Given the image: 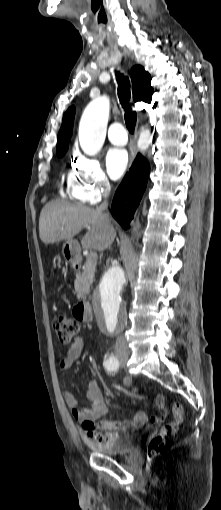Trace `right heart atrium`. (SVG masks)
Returning <instances> with one entry per match:
<instances>
[{
    "mask_svg": "<svg viewBox=\"0 0 221 510\" xmlns=\"http://www.w3.org/2000/svg\"><path fill=\"white\" fill-rule=\"evenodd\" d=\"M73 197L82 203L95 204L111 190L101 162L94 157L77 155L68 177Z\"/></svg>",
    "mask_w": 221,
    "mask_h": 510,
    "instance_id": "right-heart-atrium-1",
    "label": "right heart atrium"
}]
</instances>
